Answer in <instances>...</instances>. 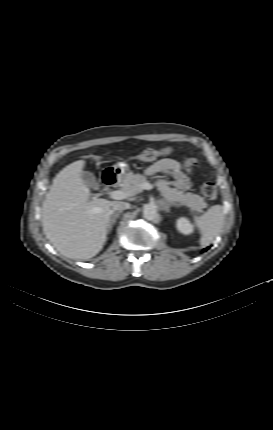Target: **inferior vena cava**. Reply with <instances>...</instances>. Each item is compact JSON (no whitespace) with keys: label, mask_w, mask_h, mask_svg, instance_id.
Returning <instances> with one entry per match:
<instances>
[{"label":"inferior vena cava","mask_w":273,"mask_h":430,"mask_svg":"<svg viewBox=\"0 0 273 430\" xmlns=\"http://www.w3.org/2000/svg\"><path fill=\"white\" fill-rule=\"evenodd\" d=\"M130 204L124 201H116L114 202V204L112 205L113 210H110V212H114V211H122L125 209H129L130 208Z\"/></svg>","instance_id":"obj_1"}]
</instances>
